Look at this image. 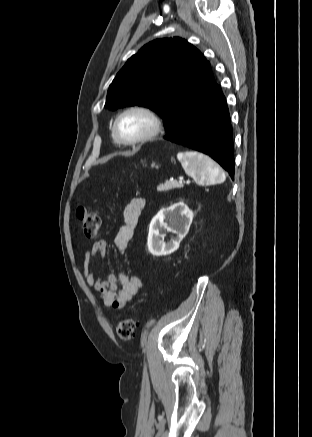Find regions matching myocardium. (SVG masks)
<instances>
[{
  "mask_svg": "<svg viewBox=\"0 0 312 437\" xmlns=\"http://www.w3.org/2000/svg\"><path fill=\"white\" fill-rule=\"evenodd\" d=\"M133 112L142 113V114H145L147 117H149L151 122H152V127H151V130L147 134H145L144 136L139 137V138L134 139V140H127L120 133L119 124H120L121 119L125 115H127L129 113H133ZM161 129H162V120L159 117V115L151 108L146 107V106H142V105H133V106L125 108L117 115V117L114 121V124H113V132H114L116 138L118 139V141L121 144L128 145V146L139 145V144H143V143H146V142L152 140L160 133Z\"/></svg>",
  "mask_w": 312,
  "mask_h": 437,
  "instance_id": "1",
  "label": "myocardium"
}]
</instances>
